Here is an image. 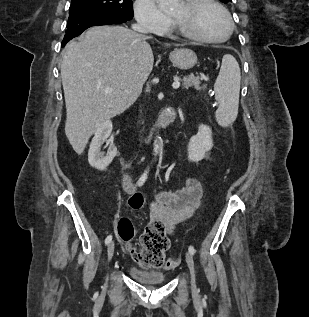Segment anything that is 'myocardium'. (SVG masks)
<instances>
[{
	"label": "myocardium",
	"mask_w": 309,
	"mask_h": 317,
	"mask_svg": "<svg viewBox=\"0 0 309 317\" xmlns=\"http://www.w3.org/2000/svg\"><path fill=\"white\" fill-rule=\"evenodd\" d=\"M184 5L187 11L189 12L197 11L198 9L204 6H213L217 8L224 15L228 24V30L226 35L221 38H208V37H204L187 30L184 26H182V24L176 18L173 17L172 20H173L175 31L180 36L188 40L198 42V43L217 44V43H223L227 41L233 34V31H234L233 19L229 11L218 1L216 0H186L184 2Z\"/></svg>",
	"instance_id": "myocardium-1"
}]
</instances>
